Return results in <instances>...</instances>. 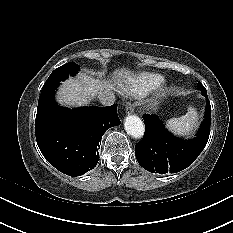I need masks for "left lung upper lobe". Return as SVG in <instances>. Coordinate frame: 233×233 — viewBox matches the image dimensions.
Listing matches in <instances>:
<instances>
[{"instance_id":"obj_1","label":"left lung upper lobe","mask_w":233,"mask_h":233,"mask_svg":"<svg viewBox=\"0 0 233 233\" xmlns=\"http://www.w3.org/2000/svg\"><path fill=\"white\" fill-rule=\"evenodd\" d=\"M197 89L203 91L205 87L200 82H198Z\"/></svg>"}]
</instances>
